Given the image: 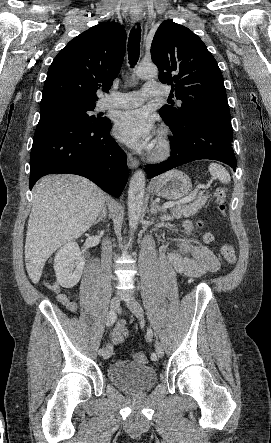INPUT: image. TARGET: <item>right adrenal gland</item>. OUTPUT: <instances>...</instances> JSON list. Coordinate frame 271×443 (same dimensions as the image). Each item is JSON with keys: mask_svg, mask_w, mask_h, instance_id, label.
Masks as SVG:
<instances>
[{"mask_svg": "<svg viewBox=\"0 0 271 443\" xmlns=\"http://www.w3.org/2000/svg\"><path fill=\"white\" fill-rule=\"evenodd\" d=\"M106 218H107V206H104L101 214H99L98 220H96V222H94V225H96V223L101 222V220H106Z\"/></svg>", "mask_w": 271, "mask_h": 443, "instance_id": "obj_1", "label": "right adrenal gland"}]
</instances>
